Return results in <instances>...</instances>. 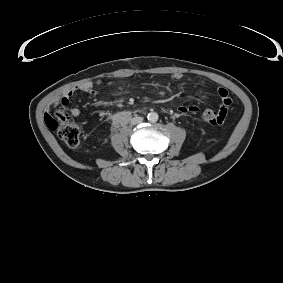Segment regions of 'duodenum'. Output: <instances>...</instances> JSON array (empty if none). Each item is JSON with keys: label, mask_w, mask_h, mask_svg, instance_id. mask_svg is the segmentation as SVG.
Here are the masks:
<instances>
[{"label": "duodenum", "mask_w": 283, "mask_h": 283, "mask_svg": "<svg viewBox=\"0 0 283 283\" xmlns=\"http://www.w3.org/2000/svg\"><path fill=\"white\" fill-rule=\"evenodd\" d=\"M136 114V113H135ZM134 114L132 112H123L118 116V124L123 126L126 121L132 118Z\"/></svg>", "instance_id": "duodenum-1"}]
</instances>
